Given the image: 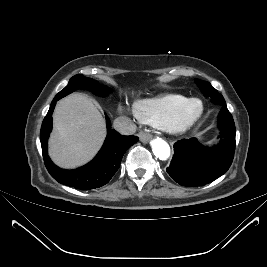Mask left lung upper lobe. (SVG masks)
<instances>
[{"instance_id":"obj_1","label":"left lung upper lobe","mask_w":267,"mask_h":267,"mask_svg":"<svg viewBox=\"0 0 267 267\" xmlns=\"http://www.w3.org/2000/svg\"><path fill=\"white\" fill-rule=\"evenodd\" d=\"M196 84L198 85V87L200 88V90L202 91V93L206 96V97H210L211 101L215 104H219L221 106H226L225 100L223 98V96L217 92L216 89H214L210 83L206 82V81H202L199 79H195Z\"/></svg>"}]
</instances>
